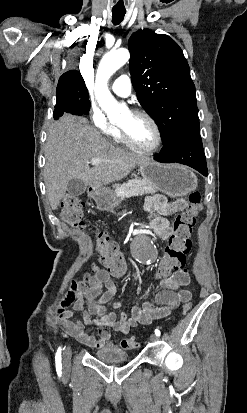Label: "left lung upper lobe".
Here are the masks:
<instances>
[{"label":"left lung upper lobe","mask_w":247,"mask_h":413,"mask_svg":"<svg viewBox=\"0 0 247 413\" xmlns=\"http://www.w3.org/2000/svg\"><path fill=\"white\" fill-rule=\"evenodd\" d=\"M128 48L138 101L157 123L163 144L178 134H200L195 86L177 43L145 29L130 37Z\"/></svg>","instance_id":"left-lung-upper-lobe-1"}]
</instances>
